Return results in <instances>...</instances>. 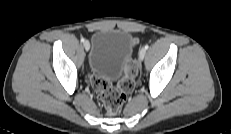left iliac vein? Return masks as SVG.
<instances>
[{
    "instance_id": "1",
    "label": "left iliac vein",
    "mask_w": 231,
    "mask_h": 134,
    "mask_svg": "<svg viewBox=\"0 0 231 134\" xmlns=\"http://www.w3.org/2000/svg\"><path fill=\"white\" fill-rule=\"evenodd\" d=\"M146 55V49L145 48H142L140 51H139V60H143L144 57Z\"/></svg>"
}]
</instances>
